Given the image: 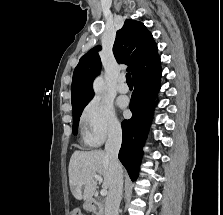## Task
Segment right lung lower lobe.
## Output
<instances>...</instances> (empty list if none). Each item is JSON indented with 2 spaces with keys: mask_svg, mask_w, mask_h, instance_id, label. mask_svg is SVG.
Returning a JSON list of instances; mask_svg holds the SVG:
<instances>
[{
  "mask_svg": "<svg viewBox=\"0 0 223 215\" xmlns=\"http://www.w3.org/2000/svg\"><path fill=\"white\" fill-rule=\"evenodd\" d=\"M161 67L156 71L134 80L135 89L129 108L133 114L122 122L123 140L119 160L135 181L142 157V147L147 137L155 102L160 88Z\"/></svg>",
  "mask_w": 223,
  "mask_h": 215,
  "instance_id": "right-lung-lower-lobe-1",
  "label": "right lung lower lobe"
}]
</instances>
